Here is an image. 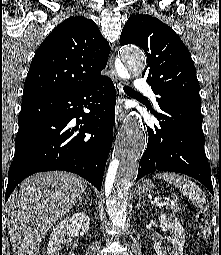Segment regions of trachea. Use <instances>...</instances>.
Masks as SVG:
<instances>
[{
	"instance_id": "1",
	"label": "trachea",
	"mask_w": 221,
	"mask_h": 255,
	"mask_svg": "<svg viewBox=\"0 0 221 255\" xmlns=\"http://www.w3.org/2000/svg\"><path fill=\"white\" fill-rule=\"evenodd\" d=\"M124 91L126 93H130V94H133V95H140L139 93H137L136 91H134L132 88L128 87V86H125L124 87Z\"/></svg>"
}]
</instances>
